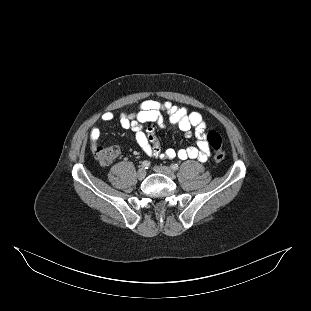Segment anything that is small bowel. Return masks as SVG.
Returning a JSON list of instances; mask_svg holds the SVG:
<instances>
[{"mask_svg":"<svg viewBox=\"0 0 311 311\" xmlns=\"http://www.w3.org/2000/svg\"><path fill=\"white\" fill-rule=\"evenodd\" d=\"M113 113L106 112L101 116L104 122L112 121ZM120 123L124 129L134 133L135 140L143 152L152 158L161 159H198L205 162L210 157V148L207 142L206 123L197 111H188L185 107L174 105L170 101L159 102L146 100L140 103L136 113H122ZM145 123H156L163 128L166 123L177 126L186 137L194 136L196 144L180 150L168 148L162 151L155 130L152 127L144 129ZM101 132L97 126L90 130L89 140L95 148Z\"/></svg>","mask_w":311,"mask_h":311,"instance_id":"small-bowel-1","label":"small bowel"}]
</instances>
